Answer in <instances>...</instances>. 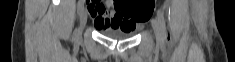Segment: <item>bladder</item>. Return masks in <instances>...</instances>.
<instances>
[{"label": "bladder", "mask_w": 235, "mask_h": 62, "mask_svg": "<svg viewBox=\"0 0 235 62\" xmlns=\"http://www.w3.org/2000/svg\"><path fill=\"white\" fill-rule=\"evenodd\" d=\"M103 34L114 39H128L134 35V30L107 29Z\"/></svg>", "instance_id": "bladder-1"}]
</instances>
